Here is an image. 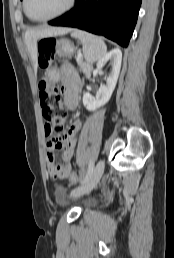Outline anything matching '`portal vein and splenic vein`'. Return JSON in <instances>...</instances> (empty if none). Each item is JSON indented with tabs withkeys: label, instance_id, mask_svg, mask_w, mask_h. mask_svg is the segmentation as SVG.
<instances>
[{
	"label": "portal vein and splenic vein",
	"instance_id": "portal-vein-and-splenic-vein-1",
	"mask_svg": "<svg viewBox=\"0 0 174 258\" xmlns=\"http://www.w3.org/2000/svg\"><path fill=\"white\" fill-rule=\"evenodd\" d=\"M82 58V55L81 54H78L77 56V60L81 59Z\"/></svg>",
	"mask_w": 174,
	"mask_h": 258
}]
</instances>
